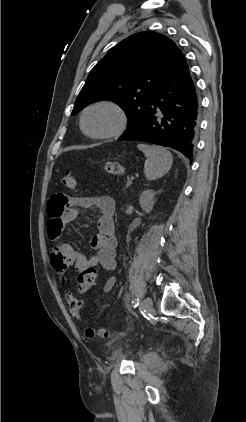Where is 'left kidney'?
I'll return each instance as SVG.
<instances>
[{
    "label": "left kidney",
    "mask_w": 246,
    "mask_h": 422,
    "mask_svg": "<svg viewBox=\"0 0 246 422\" xmlns=\"http://www.w3.org/2000/svg\"><path fill=\"white\" fill-rule=\"evenodd\" d=\"M155 191L152 189L145 190L140 195V206L143 211L146 213H150L154 207L155 204Z\"/></svg>",
    "instance_id": "5707ae66"
}]
</instances>
